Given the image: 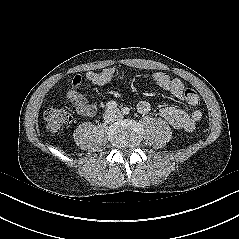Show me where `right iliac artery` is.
<instances>
[{"label":"right iliac artery","instance_id":"right-iliac-artery-1","mask_svg":"<svg viewBox=\"0 0 239 239\" xmlns=\"http://www.w3.org/2000/svg\"><path fill=\"white\" fill-rule=\"evenodd\" d=\"M117 107V103L115 101H110L106 104L107 110H112Z\"/></svg>","mask_w":239,"mask_h":239}]
</instances>
